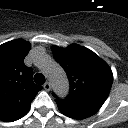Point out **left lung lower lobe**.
I'll return each mask as SVG.
<instances>
[{
	"label": "left lung lower lobe",
	"instance_id": "left-lung-lower-lobe-1",
	"mask_svg": "<svg viewBox=\"0 0 128 128\" xmlns=\"http://www.w3.org/2000/svg\"><path fill=\"white\" fill-rule=\"evenodd\" d=\"M59 110L66 116L74 119H84L94 115L99 109L89 106L76 105L63 100H55Z\"/></svg>",
	"mask_w": 128,
	"mask_h": 128
}]
</instances>
